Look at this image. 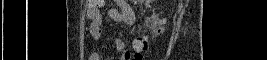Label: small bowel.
<instances>
[{
    "mask_svg": "<svg viewBox=\"0 0 267 60\" xmlns=\"http://www.w3.org/2000/svg\"><path fill=\"white\" fill-rule=\"evenodd\" d=\"M104 2V0H89L87 2V18L90 21L89 32L91 37L98 43L102 41L103 37V21L100 9L104 5ZM116 4L118 8L109 10V18L115 22L133 24L135 16L129 4L123 0H117ZM115 47L116 51L121 53V60H131V53L125 51V42L123 39H116ZM89 60H101V56L98 52H93L90 54Z\"/></svg>",
    "mask_w": 267,
    "mask_h": 60,
    "instance_id": "small-bowel-1",
    "label": "small bowel"
}]
</instances>
